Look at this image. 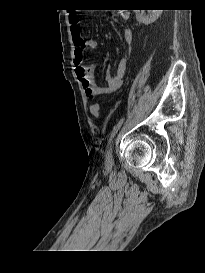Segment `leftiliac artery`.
<instances>
[{"mask_svg": "<svg viewBox=\"0 0 205 273\" xmlns=\"http://www.w3.org/2000/svg\"><path fill=\"white\" fill-rule=\"evenodd\" d=\"M124 121V118H122L113 128V131L110 135V139H109V143L112 140V138L114 137V135L117 133V131L120 129V127L122 126V123Z\"/></svg>", "mask_w": 205, "mask_h": 273, "instance_id": "left-iliac-artery-1", "label": "left iliac artery"}]
</instances>
